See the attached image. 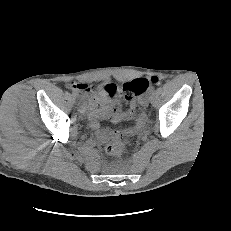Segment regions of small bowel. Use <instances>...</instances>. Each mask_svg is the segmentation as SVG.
<instances>
[{"label": "small bowel", "instance_id": "obj_1", "mask_svg": "<svg viewBox=\"0 0 231 231\" xmlns=\"http://www.w3.org/2000/svg\"><path fill=\"white\" fill-rule=\"evenodd\" d=\"M73 89L83 94L88 101V115L92 128L96 132L98 139L101 142H107L110 138L117 140L124 134L134 131L133 128L126 130H110L109 128L101 127V122L109 120L112 123H118L121 120H130L134 116V109L123 111L120 106H112L104 102L101 97L90 87L84 84H74ZM115 85H108V93L116 91ZM144 118L140 116L137 121V126L141 125Z\"/></svg>", "mask_w": 231, "mask_h": 231}]
</instances>
